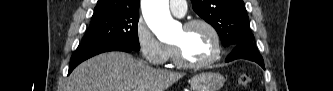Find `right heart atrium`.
I'll use <instances>...</instances> for the list:
<instances>
[{
    "mask_svg": "<svg viewBox=\"0 0 333 91\" xmlns=\"http://www.w3.org/2000/svg\"><path fill=\"white\" fill-rule=\"evenodd\" d=\"M135 40L143 58L152 65L165 64L170 56V47L162 44L143 18L135 26Z\"/></svg>",
    "mask_w": 333,
    "mask_h": 91,
    "instance_id": "obj_1",
    "label": "right heart atrium"
}]
</instances>
